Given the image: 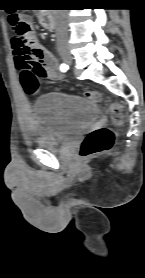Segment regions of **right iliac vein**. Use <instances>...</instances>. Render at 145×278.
I'll return each mask as SVG.
<instances>
[{
    "instance_id": "1",
    "label": "right iliac vein",
    "mask_w": 145,
    "mask_h": 278,
    "mask_svg": "<svg viewBox=\"0 0 145 278\" xmlns=\"http://www.w3.org/2000/svg\"><path fill=\"white\" fill-rule=\"evenodd\" d=\"M59 52L61 54L63 61L66 64H70L72 62L71 54L69 53V51L67 49H61V50H59Z\"/></svg>"
}]
</instances>
